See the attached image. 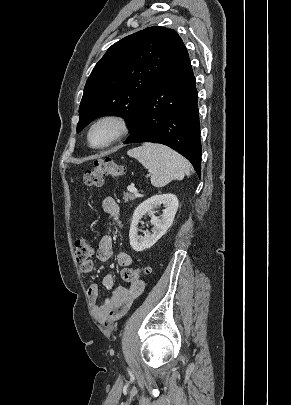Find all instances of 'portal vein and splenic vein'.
Listing matches in <instances>:
<instances>
[{"label":"portal vein and splenic vein","instance_id":"1","mask_svg":"<svg viewBox=\"0 0 291 405\" xmlns=\"http://www.w3.org/2000/svg\"><path fill=\"white\" fill-rule=\"evenodd\" d=\"M127 189L128 191L134 193L135 195H138V190L134 186L130 185L127 187Z\"/></svg>","mask_w":291,"mask_h":405}]
</instances>
